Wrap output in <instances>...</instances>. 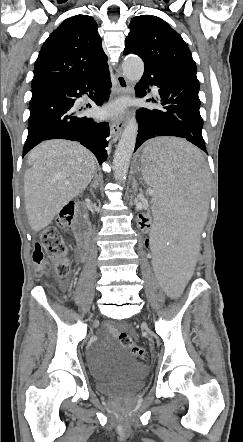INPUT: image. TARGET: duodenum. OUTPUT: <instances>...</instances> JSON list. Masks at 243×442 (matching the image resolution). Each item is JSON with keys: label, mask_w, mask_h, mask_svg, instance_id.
I'll use <instances>...</instances> for the list:
<instances>
[{"label": "duodenum", "mask_w": 243, "mask_h": 442, "mask_svg": "<svg viewBox=\"0 0 243 442\" xmlns=\"http://www.w3.org/2000/svg\"><path fill=\"white\" fill-rule=\"evenodd\" d=\"M73 232L78 244L80 259L85 261L89 254V226L85 217V209L83 207L79 208V216L73 225Z\"/></svg>", "instance_id": "obj_1"}]
</instances>
